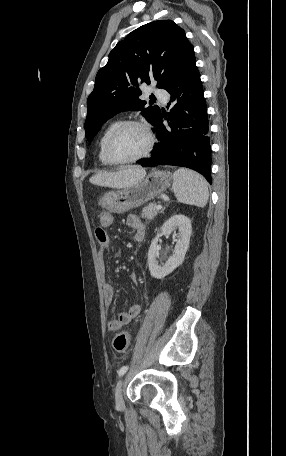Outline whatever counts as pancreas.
I'll return each mask as SVG.
<instances>
[{"instance_id": "cf45deb5", "label": "pancreas", "mask_w": 286, "mask_h": 456, "mask_svg": "<svg viewBox=\"0 0 286 456\" xmlns=\"http://www.w3.org/2000/svg\"><path fill=\"white\" fill-rule=\"evenodd\" d=\"M157 204L156 203H150L148 206L144 207L142 210L141 217L151 220L153 219L159 212V210L156 209Z\"/></svg>"}]
</instances>
